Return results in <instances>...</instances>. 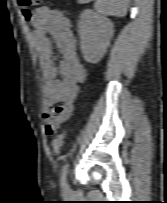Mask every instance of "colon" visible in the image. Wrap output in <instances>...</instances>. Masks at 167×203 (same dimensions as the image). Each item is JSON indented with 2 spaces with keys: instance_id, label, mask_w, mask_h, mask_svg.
I'll return each instance as SVG.
<instances>
[{
  "instance_id": "colon-1",
  "label": "colon",
  "mask_w": 167,
  "mask_h": 203,
  "mask_svg": "<svg viewBox=\"0 0 167 203\" xmlns=\"http://www.w3.org/2000/svg\"><path fill=\"white\" fill-rule=\"evenodd\" d=\"M42 0H17L18 6L27 14L29 9L40 5ZM64 143V132L59 133L52 142V153L60 154Z\"/></svg>"
}]
</instances>
